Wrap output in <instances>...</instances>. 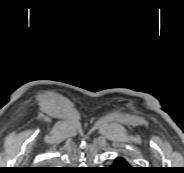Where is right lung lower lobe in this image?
I'll return each instance as SVG.
<instances>
[{
  "instance_id": "1",
  "label": "right lung lower lobe",
  "mask_w": 184,
  "mask_h": 173,
  "mask_svg": "<svg viewBox=\"0 0 184 173\" xmlns=\"http://www.w3.org/2000/svg\"><path fill=\"white\" fill-rule=\"evenodd\" d=\"M51 172H56L55 170H52Z\"/></svg>"
}]
</instances>
